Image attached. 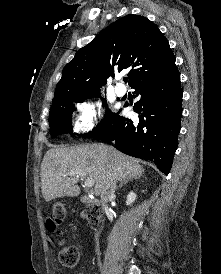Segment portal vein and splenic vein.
<instances>
[{
  "instance_id": "1",
  "label": "portal vein and splenic vein",
  "mask_w": 221,
  "mask_h": 274,
  "mask_svg": "<svg viewBox=\"0 0 221 274\" xmlns=\"http://www.w3.org/2000/svg\"><path fill=\"white\" fill-rule=\"evenodd\" d=\"M69 176L79 175L81 178L84 179V185L86 187H93L94 186V180L91 177H86V173L81 170L71 171Z\"/></svg>"
}]
</instances>
